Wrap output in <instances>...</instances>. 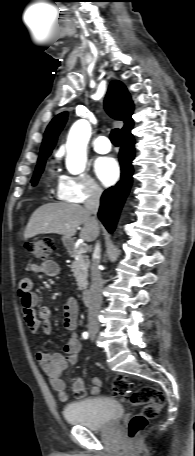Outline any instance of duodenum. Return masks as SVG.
<instances>
[{
    "label": "duodenum",
    "mask_w": 195,
    "mask_h": 456,
    "mask_svg": "<svg viewBox=\"0 0 195 456\" xmlns=\"http://www.w3.org/2000/svg\"><path fill=\"white\" fill-rule=\"evenodd\" d=\"M66 246L68 249L72 250L73 249V243L71 241L66 242ZM82 301L85 305L90 304L91 301V292L88 289H85L82 292Z\"/></svg>",
    "instance_id": "410a0bca"
}]
</instances>
